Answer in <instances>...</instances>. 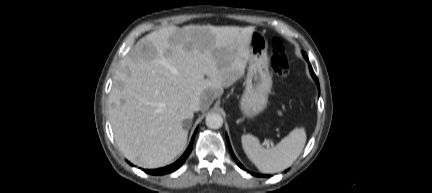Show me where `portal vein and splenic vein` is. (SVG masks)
Segmentation results:
<instances>
[{
  "label": "portal vein and splenic vein",
  "instance_id": "portal-vein-and-splenic-vein-1",
  "mask_svg": "<svg viewBox=\"0 0 432 193\" xmlns=\"http://www.w3.org/2000/svg\"><path fill=\"white\" fill-rule=\"evenodd\" d=\"M266 144L269 145V142L267 141Z\"/></svg>",
  "mask_w": 432,
  "mask_h": 193
}]
</instances>
